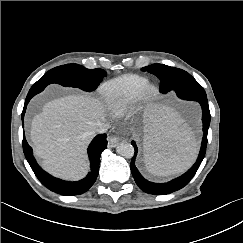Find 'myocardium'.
<instances>
[{"mask_svg": "<svg viewBox=\"0 0 243 243\" xmlns=\"http://www.w3.org/2000/svg\"><path fill=\"white\" fill-rule=\"evenodd\" d=\"M159 91L153 84H147L136 97L141 106L147 105L157 99Z\"/></svg>", "mask_w": 243, "mask_h": 243, "instance_id": "f54148a6", "label": "myocardium"}]
</instances>
